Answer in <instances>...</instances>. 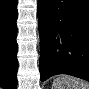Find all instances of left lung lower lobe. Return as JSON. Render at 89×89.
I'll return each instance as SVG.
<instances>
[{
    "label": "left lung lower lobe",
    "mask_w": 89,
    "mask_h": 89,
    "mask_svg": "<svg viewBox=\"0 0 89 89\" xmlns=\"http://www.w3.org/2000/svg\"><path fill=\"white\" fill-rule=\"evenodd\" d=\"M41 81L68 74L89 81V0H38Z\"/></svg>",
    "instance_id": "0a47b994"
}]
</instances>
